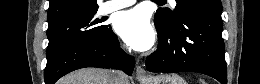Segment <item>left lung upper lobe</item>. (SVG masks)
Here are the masks:
<instances>
[{
	"instance_id": "1",
	"label": "left lung upper lobe",
	"mask_w": 260,
	"mask_h": 84,
	"mask_svg": "<svg viewBox=\"0 0 260 84\" xmlns=\"http://www.w3.org/2000/svg\"><path fill=\"white\" fill-rule=\"evenodd\" d=\"M175 12L170 9L160 8L155 14L156 20L172 23L176 21L183 11V7H196L208 10L222 11L220 0H176Z\"/></svg>"
}]
</instances>
